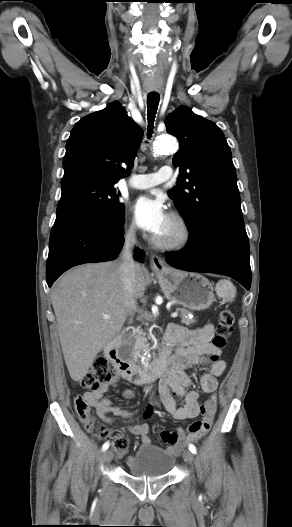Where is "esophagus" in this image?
I'll use <instances>...</instances> for the list:
<instances>
[{
  "label": "esophagus",
  "mask_w": 292,
  "mask_h": 527,
  "mask_svg": "<svg viewBox=\"0 0 292 527\" xmlns=\"http://www.w3.org/2000/svg\"><path fill=\"white\" fill-rule=\"evenodd\" d=\"M150 267L155 272H163L167 269L165 261L158 255H151Z\"/></svg>",
  "instance_id": "1"
}]
</instances>
